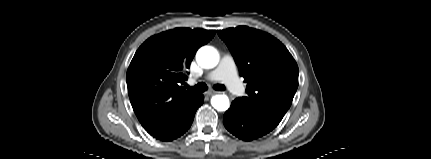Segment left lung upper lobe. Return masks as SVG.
Wrapping results in <instances>:
<instances>
[{"label":"left lung upper lobe","instance_id":"1","mask_svg":"<svg viewBox=\"0 0 431 159\" xmlns=\"http://www.w3.org/2000/svg\"><path fill=\"white\" fill-rule=\"evenodd\" d=\"M247 83L246 106L283 118L298 88V66L287 48L263 31L238 26L217 31Z\"/></svg>","mask_w":431,"mask_h":159}]
</instances>
